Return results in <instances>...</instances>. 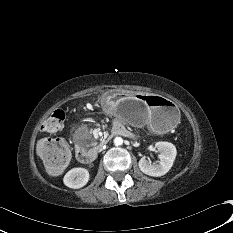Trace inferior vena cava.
<instances>
[{
    "instance_id": "obj_1",
    "label": "inferior vena cava",
    "mask_w": 233,
    "mask_h": 233,
    "mask_svg": "<svg viewBox=\"0 0 233 233\" xmlns=\"http://www.w3.org/2000/svg\"><path fill=\"white\" fill-rule=\"evenodd\" d=\"M98 151H102V146H100V147L98 148Z\"/></svg>"
}]
</instances>
